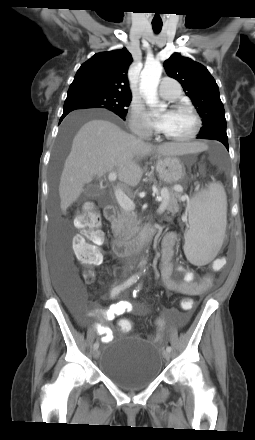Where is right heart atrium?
Returning <instances> with one entry per match:
<instances>
[{
	"label": "right heart atrium",
	"mask_w": 255,
	"mask_h": 440,
	"mask_svg": "<svg viewBox=\"0 0 255 440\" xmlns=\"http://www.w3.org/2000/svg\"><path fill=\"white\" fill-rule=\"evenodd\" d=\"M129 127L135 134L147 135L150 133V127L143 113V107L138 102H133L131 105Z\"/></svg>",
	"instance_id": "obj_1"
}]
</instances>
